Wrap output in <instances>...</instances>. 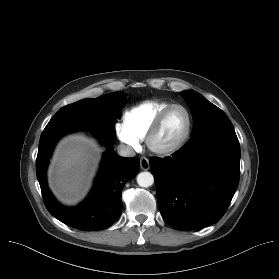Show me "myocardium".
<instances>
[{
	"label": "myocardium",
	"instance_id": "myocardium-1",
	"mask_svg": "<svg viewBox=\"0 0 279 279\" xmlns=\"http://www.w3.org/2000/svg\"><path fill=\"white\" fill-rule=\"evenodd\" d=\"M174 109H181L186 114L187 126L185 129V132L176 143H174L170 146H165V147L157 146L155 144V138H156L159 130L161 129L166 117ZM192 127H193V119H192V115H191L189 109L181 104H172V105L168 106L167 108H165L163 111H161V113L157 116V118L154 120L151 127L149 128L148 133L145 137L147 147L153 153H156L161 156H167V155L176 153L177 151L182 149L186 145L188 140L190 139Z\"/></svg>",
	"mask_w": 279,
	"mask_h": 279
}]
</instances>
